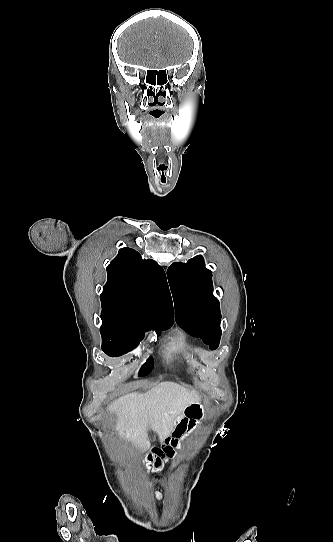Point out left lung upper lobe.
I'll return each mask as SVG.
<instances>
[{
	"label": "left lung upper lobe",
	"mask_w": 333,
	"mask_h": 542,
	"mask_svg": "<svg viewBox=\"0 0 333 542\" xmlns=\"http://www.w3.org/2000/svg\"><path fill=\"white\" fill-rule=\"evenodd\" d=\"M167 276L175 304V320L193 337H200L211 350L221 338L219 301L212 295V272L201 255L187 263H173Z\"/></svg>",
	"instance_id": "obj_1"
}]
</instances>
